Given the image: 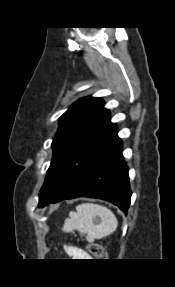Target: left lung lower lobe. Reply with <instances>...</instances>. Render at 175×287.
<instances>
[{"label":"left lung lower lobe","mask_w":175,"mask_h":287,"mask_svg":"<svg viewBox=\"0 0 175 287\" xmlns=\"http://www.w3.org/2000/svg\"><path fill=\"white\" fill-rule=\"evenodd\" d=\"M77 197L103 199L127 213L131 190L119 137L104 148L90 166L50 203Z\"/></svg>","instance_id":"0a47b994"}]
</instances>
